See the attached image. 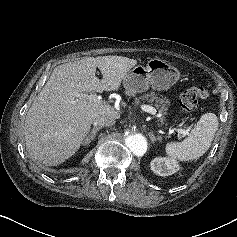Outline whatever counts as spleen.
<instances>
[{
	"instance_id": "3e777b00",
	"label": "spleen",
	"mask_w": 237,
	"mask_h": 237,
	"mask_svg": "<svg viewBox=\"0 0 237 237\" xmlns=\"http://www.w3.org/2000/svg\"><path fill=\"white\" fill-rule=\"evenodd\" d=\"M218 125L219 121L214 113L203 114L187 138L179 143H167V155L179 161L198 159L211 146Z\"/></svg>"
}]
</instances>
